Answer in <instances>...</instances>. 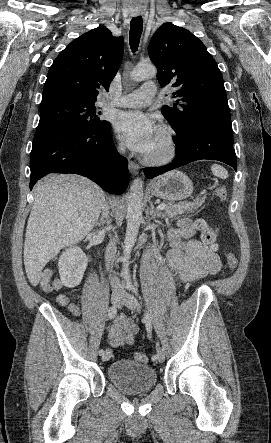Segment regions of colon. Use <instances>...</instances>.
Here are the masks:
<instances>
[{
	"label": "colon",
	"mask_w": 271,
	"mask_h": 443,
	"mask_svg": "<svg viewBox=\"0 0 271 443\" xmlns=\"http://www.w3.org/2000/svg\"><path fill=\"white\" fill-rule=\"evenodd\" d=\"M214 194L220 202H224L227 199V189L223 185H219L214 189ZM196 228L201 232L202 241L208 245L211 249H216L218 244V233L217 230L211 227L204 219H198L196 221ZM226 260L229 268L234 270L237 267L238 260L236 256L232 253L226 254ZM50 271H46L43 274L41 281L42 288L44 290H50ZM134 359L141 363H146L148 357L145 353L137 352L134 354Z\"/></svg>",
	"instance_id": "5ec220e1"
}]
</instances>
